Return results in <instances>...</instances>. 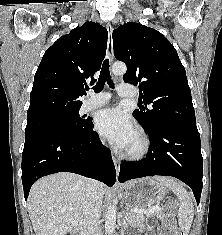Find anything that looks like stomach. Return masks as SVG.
<instances>
[{
    "instance_id": "1",
    "label": "stomach",
    "mask_w": 222,
    "mask_h": 235,
    "mask_svg": "<svg viewBox=\"0 0 222 235\" xmlns=\"http://www.w3.org/2000/svg\"><path fill=\"white\" fill-rule=\"evenodd\" d=\"M167 188L152 178L133 180L125 185L124 198L131 208L143 209L160 202L166 195Z\"/></svg>"
}]
</instances>
